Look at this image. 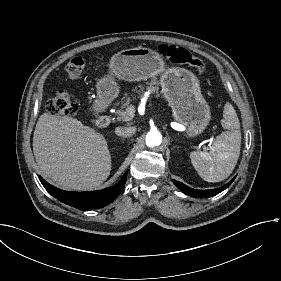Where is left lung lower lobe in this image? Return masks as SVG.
Segmentation results:
<instances>
[{
    "instance_id": "0a47b994",
    "label": "left lung lower lobe",
    "mask_w": 281,
    "mask_h": 281,
    "mask_svg": "<svg viewBox=\"0 0 281 281\" xmlns=\"http://www.w3.org/2000/svg\"><path fill=\"white\" fill-rule=\"evenodd\" d=\"M236 178V176L226 185L220 187V188H216V189H210V190H196V189H192L188 186H186L185 184L178 182L176 180H173V183L185 194L195 197V198H208V197H212L217 195L218 193H220L221 191L225 190L227 187L230 186V184L234 181V179Z\"/></svg>"
}]
</instances>
